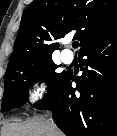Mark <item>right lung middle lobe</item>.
Returning <instances> with one entry per match:
<instances>
[{
  "mask_svg": "<svg viewBox=\"0 0 117 136\" xmlns=\"http://www.w3.org/2000/svg\"><path fill=\"white\" fill-rule=\"evenodd\" d=\"M57 68L51 56L26 58L8 65L1 112L22 106L30 86L35 82H46L50 93L67 73H58L55 71Z\"/></svg>",
  "mask_w": 117,
  "mask_h": 136,
  "instance_id": "dd1d6c3e",
  "label": "right lung middle lobe"
}]
</instances>
